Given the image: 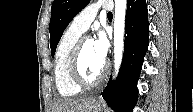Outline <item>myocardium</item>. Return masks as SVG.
<instances>
[{"instance_id":"1","label":"myocardium","mask_w":193,"mask_h":112,"mask_svg":"<svg viewBox=\"0 0 193 112\" xmlns=\"http://www.w3.org/2000/svg\"><path fill=\"white\" fill-rule=\"evenodd\" d=\"M87 40H92L90 37L83 36L76 42L70 58V75L73 82L80 88H92L99 85L106 78L108 74V63L104 62V68L100 75L94 80H88L82 73L81 70V54L83 45Z\"/></svg>"}]
</instances>
